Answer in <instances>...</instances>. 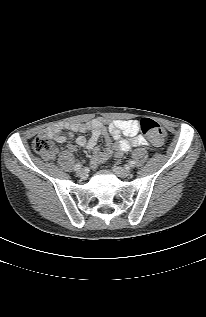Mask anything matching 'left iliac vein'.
Returning a JSON list of instances; mask_svg holds the SVG:
<instances>
[{
    "label": "left iliac vein",
    "mask_w": 206,
    "mask_h": 317,
    "mask_svg": "<svg viewBox=\"0 0 206 317\" xmlns=\"http://www.w3.org/2000/svg\"><path fill=\"white\" fill-rule=\"evenodd\" d=\"M114 172L121 178H126L131 175V171L127 168H122L119 166H114Z\"/></svg>",
    "instance_id": "4c4485c4"
}]
</instances>
